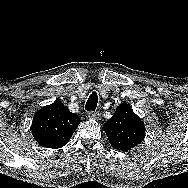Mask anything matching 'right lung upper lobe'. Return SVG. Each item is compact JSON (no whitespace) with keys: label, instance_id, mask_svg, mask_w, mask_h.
<instances>
[{"label":"right lung upper lobe","instance_id":"obj_1","mask_svg":"<svg viewBox=\"0 0 188 188\" xmlns=\"http://www.w3.org/2000/svg\"><path fill=\"white\" fill-rule=\"evenodd\" d=\"M79 123L76 114L55 101L35 113L31 130L41 146L56 149L67 144Z\"/></svg>","mask_w":188,"mask_h":188}]
</instances>
